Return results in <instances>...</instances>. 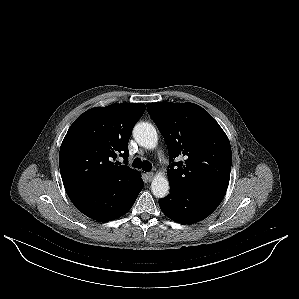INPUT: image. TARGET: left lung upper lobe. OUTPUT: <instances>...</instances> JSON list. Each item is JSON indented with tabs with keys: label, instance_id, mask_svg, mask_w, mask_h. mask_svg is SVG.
I'll list each match as a JSON object with an SVG mask.
<instances>
[{
	"label": "left lung upper lobe",
	"instance_id": "left-lung-upper-lobe-1",
	"mask_svg": "<svg viewBox=\"0 0 299 299\" xmlns=\"http://www.w3.org/2000/svg\"><path fill=\"white\" fill-rule=\"evenodd\" d=\"M147 111L162 133L173 162L170 186H200L226 191L231 171L230 142L216 120L193 103H148Z\"/></svg>",
	"mask_w": 299,
	"mask_h": 299
}]
</instances>
